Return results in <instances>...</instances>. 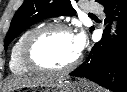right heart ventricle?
Listing matches in <instances>:
<instances>
[{
	"instance_id": "obj_1",
	"label": "right heart ventricle",
	"mask_w": 127,
	"mask_h": 92,
	"mask_svg": "<svg viewBox=\"0 0 127 92\" xmlns=\"http://www.w3.org/2000/svg\"><path fill=\"white\" fill-rule=\"evenodd\" d=\"M36 28H29L24 31L17 41L14 43L9 60L10 71L16 75H26L31 73V70L28 69L21 59V48L25 38Z\"/></svg>"
}]
</instances>
